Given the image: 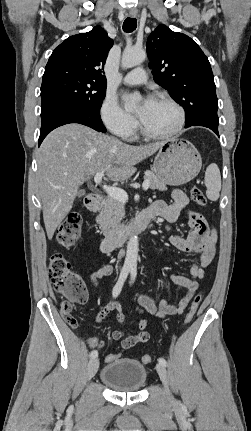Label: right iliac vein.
Masks as SVG:
<instances>
[{
	"mask_svg": "<svg viewBox=\"0 0 251 431\" xmlns=\"http://www.w3.org/2000/svg\"><path fill=\"white\" fill-rule=\"evenodd\" d=\"M99 367V360L97 358H93L90 360L89 364H88V368H87V379L90 380L92 379Z\"/></svg>",
	"mask_w": 251,
	"mask_h": 431,
	"instance_id": "63e3f726",
	"label": "right iliac vein"
}]
</instances>
